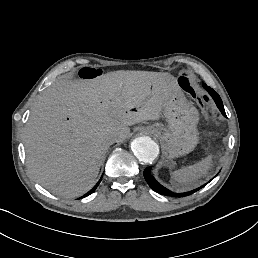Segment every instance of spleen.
<instances>
[{
    "label": "spleen",
    "mask_w": 258,
    "mask_h": 258,
    "mask_svg": "<svg viewBox=\"0 0 258 258\" xmlns=\"http://www.w3.org/2000/svg\"><path fill=\"white\" fill-rule=\"evenodd\" d=\"M212 155H208L201 161L185 166L177 171L171 172V183L177 192H185L193 189L195 182L205 177L210 170ZM181 184L182 186H178Z\"/></svg>",
    "instance_id": "obj_1"
}]
</instances>
